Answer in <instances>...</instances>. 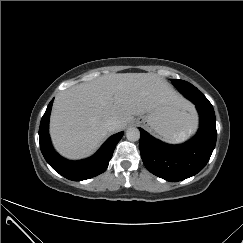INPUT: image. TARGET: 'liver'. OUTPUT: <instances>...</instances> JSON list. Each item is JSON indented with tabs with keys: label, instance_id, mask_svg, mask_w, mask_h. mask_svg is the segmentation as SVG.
I'll return each mask as SVG.
<instances>
[{
	"label": "liver",
	"instance_id": "obj_1",
	"mask_svg": "<svg viewBox=\"0 0 243 243\" xmlns=\"http://www.w3.org/2000/svg\"><path fill=\"white\" fill-rule=\"evenodd\" d=\"M189 108L163 78L154 73H117L61 91L55 98L50 134L56 150L70 159L92 154L109 131L106 121L119 120L123 129L134 116L160 105Z\"/></svg>",
	"mask_w": 243,
	"mask_h": 243
}]
</instances>
